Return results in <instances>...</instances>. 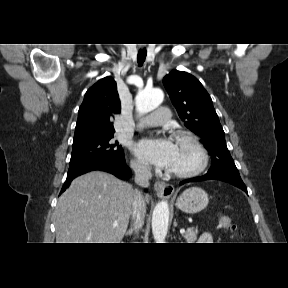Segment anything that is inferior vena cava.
<instances>
[{"instance_id": "602c4592", "label": "inferior vena cava", "mask_w": 288, "mask_h": 288, "mask_svg": "<svg viewBox=\"0 0 288 288\" xmlns=\"http://www.w3.org/2000/svg\"><path fill=\"white\" fill-rule=\"evenodd\" d=\"M135 173V182L140 187L146 188L149 186V180L152 177L150 167L146 164L136 163L132 165ZM146 213V204L142 192L135 190V197L132 206V219L135 229H139L144 224Z\"/></svg>"}]
</instances>
